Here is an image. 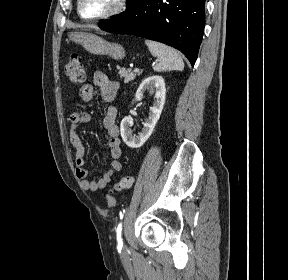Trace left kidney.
<instances>
[{"label": "left kidney", "instance_id": "obj_1", "mask_svg": "<svg viewBox=\"0 0 288 280\" xmlns=\"http://www.w3.org/2000/svg\"><path fill=\"white\" fill-rule=\"evenodd\" d=\"M149 90L150 94H154V103L150 107L149 116L143 123V128L138 135H132L131 126L133 120L126 116L123 118L120 124L121 137L128 147L139 148L152 134L157 121L160 118L164 103H165V81L161 76H150L142 81L139 88L136 91L135 99L141 100L144 93Z\"/></svg>", "mask_w": 288, "mask_h": 280}]
</instances>
